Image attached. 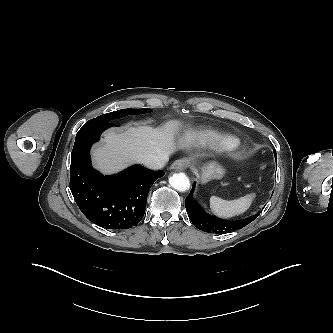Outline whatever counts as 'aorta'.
I'll return each mask as SVG.
<instances>
[{
    "instance_id": "obj_1",
    "label": "aorta",
    "mask_w": 333,
    "mask_h": 333,
    "mask_svg": "<svg viewBox=\"0 0 333 333\" xmlns=\"http://www.w3.org/2000/svg\"><path fill=\"white\" fill-rule=\"evenodd\" d=\"M169 184L171 187L181 191H185L190 187L189 178L184 173L173 174L169 178Z\"/></svg>"
}]
</instances>
